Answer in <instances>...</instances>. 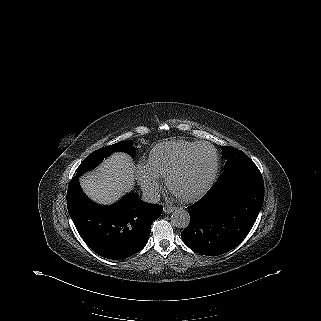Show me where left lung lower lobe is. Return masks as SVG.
<instances>
[{"label": "left lung lower lobe", "instance_id": "1", "mask_svg": "<svg viewBox=\"0 0 321 321\" xmlns=\"http://www.w3.org/2000/svg\"><path fill=\"white\" fill-rule=\"evenodd\" d=\"M263 201L262 175L251 160L225 167L209 191L188 207L191 220L182 240L202 255L226 253L248 235Z\"/></svg>", "mask_w": 321, "mask_h": 321}]
</instances>
